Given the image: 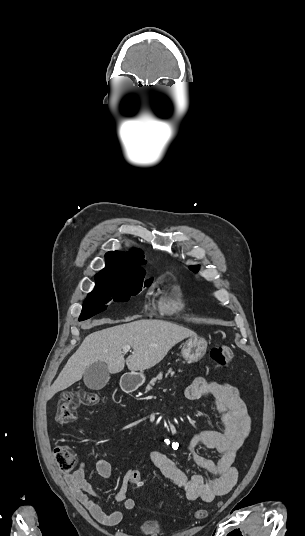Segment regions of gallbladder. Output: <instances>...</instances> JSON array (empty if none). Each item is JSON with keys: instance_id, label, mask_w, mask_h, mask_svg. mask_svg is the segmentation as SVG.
<instances>
[{"instance_id": "gallbladder-1", "label": "gallbladder", "mask_w": 305, "mask_h": 536, "mask_svg": "<svg viewBox=\"0 0 305 536\" xmlns=\"http://www.w3.org/2000/svg\"><path fill=\"white\" fill-rule=\"evenodd\" d=\"M85 386L90 390H102L110 380L109 370L105 362H94L83 374Z\"/></svg>"}]
</instances>
